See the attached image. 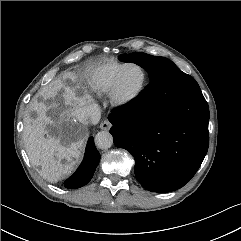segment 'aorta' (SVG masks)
Instances as JSON below:
<instances>
[{
	"instance_id": "762f6f07",
	"label": "aorta",
	"mask_w": 241,
	"mask_h": 241,
	"mask_svg": "<svg viewBox=\"0 0 241 241\" xmlns=\"http://www.w3.org/2000/svg\"><path fill=\"white\" fill-rule=\"evenodd\" d=\"M95 143L100 149H108L113 145V136L108 131H100L95 136Z\"/></svg>"
}]
</instances>
